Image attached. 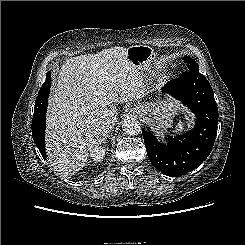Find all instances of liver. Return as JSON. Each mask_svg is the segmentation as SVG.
<instances>
[{
  "instance_id": "liver-1",
  "label": "liver",
  "mask_w": 245,
  "mask_h": 245,
  "mask_svg": "<svg viewBox=\"0 0 245 245\" xmlns=\"http://www.w3.org/2000/svg\"><path fill=\"white\" fill-rule=\"evenodd\" d=\"M144 93L139 69L124 47L66 60L54 78L47 114V154L56 171L67 178L81 170L109 132L102 111L116 114L115 103Z\"/></svg>"
}]
</instances>
